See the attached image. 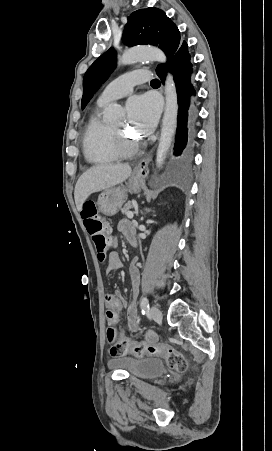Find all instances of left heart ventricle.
Returning a JSON list of instances; mask_svg holds the SVG:
<instances>
[{
  "label": "left heart ventricle",
  "instance_id": "b2bd125f",
  "mask_svg": "<svg viewBox=\"0 0 272 451\" xmlns=\"http://www.w3.org/2000/svg\"><path fill=\"white\" fill-rule=\"evenodd\" d=\"M122 126H123V122H121V123L118 124V125H114V129H116V130H118V131H121Z\"/></svg>",
  "mask_w": 272,
  "mask_h": 451
}]
</instances>
